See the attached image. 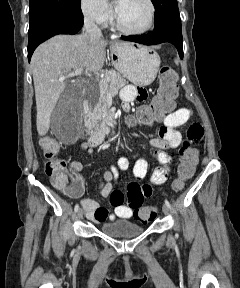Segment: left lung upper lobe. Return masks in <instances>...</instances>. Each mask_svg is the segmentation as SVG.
Instances as JSON below:
<instances>
[{
	"label": "left lung upper lobe",
	"mask_w": 240,
	"mask_h": 288,
	"mask_svg": "<svg viewBox=\"0 0 240 288\" xmlns=\"http://www.w3.org/2000/svg\"><path fill=\"white\" fill-rule=\"evenodd\" d=\"M155 7V28L181 26L177 0H151Z\"/></svg>",
	"instance_id": "1"
}]
</instances>
